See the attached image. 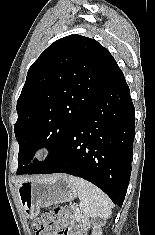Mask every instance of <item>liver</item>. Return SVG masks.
I'll use <instances>...</instances> for the list:
<instances>
[{
	"mask_svg": "<svg viewBox=\"0 0 155 235\" xmlns=\"http://www.w3.org/2000/svg\"><path fill=\"white\" fill-rule=\"evenodd\" d=\"M36 179H39V178L38 177H29V178H25V179H20V180H18V182L21 183V182L36 180Z\"/></svg>",
	"mask_w": 155,
	"mask_h": 235,
	"instance_id": "1",
	"label": "liver"
}]
</instances>
